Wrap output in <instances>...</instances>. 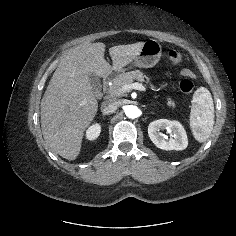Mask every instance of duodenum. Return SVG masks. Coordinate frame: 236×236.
<instances>
[{"label": "duodenum", "instance_id": "410a0bca", "mask_svg": "<svg viewBox=\"0 0 236 236\" xmlns=\"http://www.w3.org/2000/svg\"><path fill=\"white\" fill-rule=\"evenodd\" d=\"M112 75H113V72L109 71L103 76V90L107 87Z\"/></svg>", "mask_w": 236, "mask_h": 236}]
</instances>
